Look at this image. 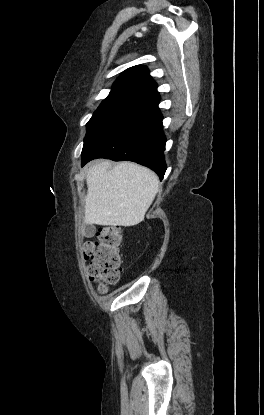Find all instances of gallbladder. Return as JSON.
<instances>
[{
    "label": "gallbladder",
    "instance_id": "1",
    "mask_svg": "<svg viewBox=\"0 0 264 415\" xmlns=\"http://www.w3.org/2000/svg\"><path fill=\"white\" fill-rule=\"evenodd\" d=\"M93 234V227L92 226H87L86 230H85V235L86 236H91Z\"/></svg>",
    "mask_w": 264,
    "mask_h": 415
}]
</instances>
